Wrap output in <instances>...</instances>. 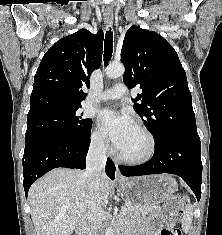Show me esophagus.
Instances as JSON below:
<instances>
[{
	"instance_id": "1",
	"label": "esophagus",
	"mask_w": 222,
	"mask_h": 235,
	"mask_svg": "<svg viewBox=\"0 0 222 235\" xmlns=\"http://www.w3.org/2000/svg\"><path fill=\"white\" fill-rule=\"evenodd\" d=\"M104 21H105V24L107 26H111L112 23H113V12L112 10L108 9L105 11L104 13ZM125 179L124 177L122 176L119 168H118V165H116V173H115V181L116 182H123Z\"/></svg>"
}]
</instances>
